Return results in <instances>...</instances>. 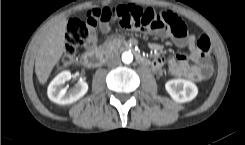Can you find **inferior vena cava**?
<instances>
[{
  "label": "inferior vena cava",
  "mask_w": 245,
  "mask_h": 145,
  "mask_svg": "<svg viewBox=\"0 0 245 145\" xmlns=\"http://www.w3.org/2000/svg\"><path fill=\"white\" fill-rule=\"evenodd\" d=\"M119 63H120V60H119L118 57L112 58V59L108 62L109 65H113V66L118 65Z\"/></svg>",
  "instance_id": "inferior-vena-cava-1"
}]
</instances>
